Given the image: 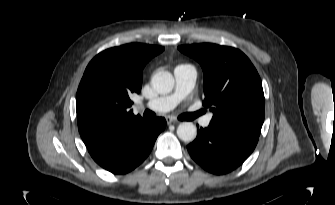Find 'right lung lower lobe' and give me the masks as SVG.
I'll use <instances>...</instances> for the list:
<instances>
[{
	"instance_id": "right-lung-lower-lobe-1",
	"label": "right lung lower lobe",
	"mask_w": 335,
	"mask_h": 205,
	"mask_svg": "<svg viewBox=\"0 0 335 205\" xmlns=\"http://www.w3.org/2000/svg\"><path fill=\"white\" fill-rule=\"evenodd\" d=\"M166 120L157 117L148 120L125 138L105 145L89 148L92 158L104 169L114 174H125L141 164L151 152Z\"/></svg>"
}]
</instances>
